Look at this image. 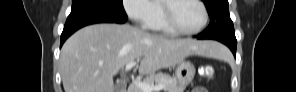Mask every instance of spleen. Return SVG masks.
Listing matches in <instances>:
<instances>
[{
	"instance_id": "3e777b00",
	"label": "spleen",
	"mask_w": 296,
	"mask_h": 92,
	"mask_svg": "<svg viewBox=\"0 0 296 92\" xmlns=\"http://www.w3.org/2000/svg\"><path fill=\"white\" fill-rule=\"evenodd\" d=\"M214 57L221 58V59H226V58H229L230 55L226 53V49L223 47V48H218V52Z\"/></svg>"
}]
</instances>
